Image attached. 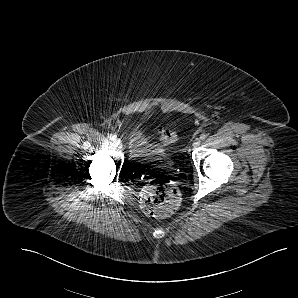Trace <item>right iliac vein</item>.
I'll return each instance as SVG.
<instances>
[{"instance_id": "obj_1", "label": "right iliac vein", "mask_w": 298, "mask_h": 298, "mask_svg": "<svg viewBox=\"0 0 298 298\" xmlns=\"http://www.w3.org/2000/svg\"><path fill=\"white\" fill-rule=\"evenodd\" d=\"M114 144L118 148H122V141L120 139H115Z\"/></svg>"}]
</instances>
